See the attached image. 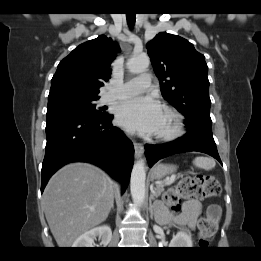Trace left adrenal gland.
<instances>
[{
  "label": "left adrenal gland",
  "instance_id": "obj_1",
  "mask_svg": "<svg viewBox=\"0 0 261 261\" xmlns=\"http://www.w3.org/2000/svg\"><path fill=\"white\" fill-rule=\"evenodd\" d=\"M153 199H154V196L151 194L150 198H149L151 216H153V206H152V200Z\"/></svg>",
  "mask_w": 261,
  "mask_h": 261
}]
</instances>
